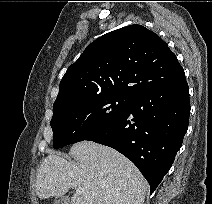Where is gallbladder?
Segmentation results:
<instances>
[{
	"mask_svg": "<svg viewBox=\"0 0 212 204\" xmlns=\"http://www.w3.org/2000/svg\"><path fill=\"white\" fill-rule=\"evenodd\" d=\"M53 204H70L69 198L62 196V197H56L53 201Z\"/></svg>",
	"mask_w": 212,
	"mask_h": 204,
	"instance_id": "obj_1",
	"label": "gallbladder"
}]
</instances>
